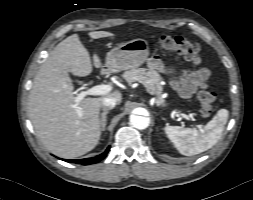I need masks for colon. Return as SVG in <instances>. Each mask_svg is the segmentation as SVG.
<instances>
[{
    "label": "colon",
    "instance_id": "1",
    "mask_svg": "<svg viewBox=\"0 0 253 200\" xmlns=\"http://www.w3.org/2000/svg\"><path fill=\"white\" fill-rule=\"evenodd\" d=\"M157 44L161 49L178 54L194 64H200L204 56V51L201 46L180 35L161 36ZM215 99V93L209 86L202 84L198 93L199 112L201 116L208 117L211 115L215 108Z\"/></svg>",
    "mask_w": 253,
    "mask_h": 200
}]
</instances>
